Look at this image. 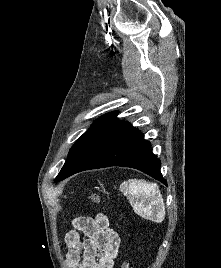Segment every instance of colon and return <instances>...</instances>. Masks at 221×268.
<instances>
[{"label":"colon","instance_id":"obj_1","mask_svg":"<svg viewBox=\"0 0 221 268\" xmlns=\"http://www.w3.org/2000/svg\"><path fill=\"white\" fill-rule=\"evenodd\" d=\"M88 200L93 204H99L101 201V198L100 196L94 194V195H90L88 197ZM121 268H132V265L128 261H123L121 264Z\"/></svg>","mask_w":221,"mask_h":268}]
</instances>
